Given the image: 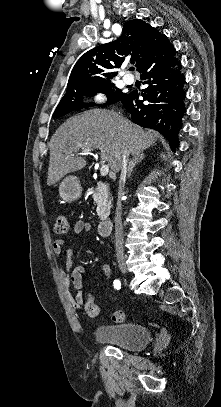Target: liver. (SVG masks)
I'll use <instances>...</instances> for the list:
<instances>
[{
	"mask_svg": "<svg viewBox=\"0 0 221 407\" xmlns=\"http://www.w3.org/2000/svg\"><path fill=\"white\" fill-rule=\"evenodd\" d=\"M158 137L157 132L143 129L114 111L92 109L75 115L56 130L49 142L47 185L87 165L84 157L74 156L79 150L99 149L101 160L118 172L125 149L134 156L149 148Z\"/></svg>",
	"mask_w": 221,
	"mask_h": 407,
	"instance_id": "6515ba94",
	"label": "liver"
}]
</instances>
